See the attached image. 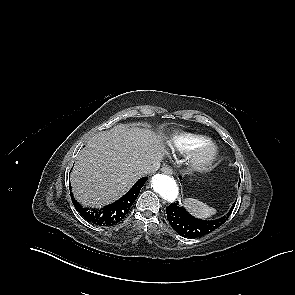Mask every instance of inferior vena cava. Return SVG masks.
<instances>
[{
  "label": "inferior vena cava",
  "mask_w": 295,
  "mask_h": 295,
  "mask_svg": "<svg viewBox=\"0 0 295 295\" xmlns=\"http://www.w3.org/2000/svg\"><path fill=\"white\" fill-rule=\"evenodd\" d=\"M159 167H160V163H155L153 165L143 168L140 171V174L143 176L146 174L154 173L155 171H157L159 169Z\"/></svg>",
  "instance_id": "1"
}]
</instances>
